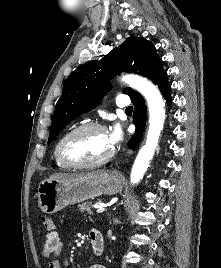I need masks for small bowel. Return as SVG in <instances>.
Listing matches in <instances>:
<instances>
[{"label":"small bowel","mask_w":221,"mask_h":268,"mask_svg":"<svg viewBox=\"0 0 221 268\" xmlns=\"http://www.w3.org/2000/svg\"><path fill=\"white\" fill-rule=\"evenodd\" d=\"M63 249V242L59 233L52 229L47 231L45 239L42 243V255L47 260V268H61L59 255ZM89 268H105L102 265L94 264Z\"/></svg>","instance_id":"small-bowel-1"}]
</instances>
